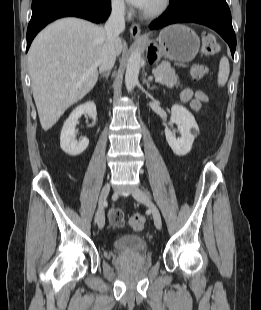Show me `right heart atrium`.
<instances>
[{
    "mask_svg": "<svg viewBox=\"0 0 261 310\" xmlns=\"http://www.w3.org/2000/svg\"><path fill=\"white\" fill-rule=\"evenodd\" d=\"M111 10L116 15H124L126 13V6L123 0H110Z\"/></svg>",
    "mask_w": 261,
    "mask_h": 310,
    "instance_id": "1",
    "label": "right heart atrium"
}]
</instances>
